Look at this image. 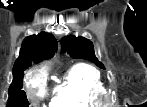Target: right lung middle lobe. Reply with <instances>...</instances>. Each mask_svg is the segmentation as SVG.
Segmentation results:
<instances>
[{"label": "right lung middle lobe", "mask_w": 147, "mask_h": 107, "mask_svg": "<svg viewBox=\"0 0 147 107\" xmlns=\"http://www.w3.org/2000/svg\"><path fill=\"white\" fill-rule=\"evenodd\" d=\"M30 65L24 66L15 76L9 88V98L6 107H28L29 102L26 98V93L22 90L23 75Z\"/></svg>", "instance_id": "obj_1"}]
</instances>
